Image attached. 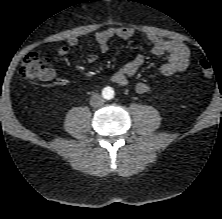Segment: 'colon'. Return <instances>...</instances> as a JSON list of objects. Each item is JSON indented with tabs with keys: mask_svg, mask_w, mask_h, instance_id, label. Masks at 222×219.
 I'll list each match as a JSON object with an SVG mask.
<instances>
[{
	"mask_svg": "<svg viewBox=\"0 0 222 219\" xmlns=\"http://www.w3.org/2000/svg\"><path fill=\"white\" fill-rule=\"evenodd\" d=\"M51 66L48 60L36 53L28 54L20 67V75L26 80H46L51 76ZM201 74L209 78L213 75V67L210 62H200Z\"/></svg>",
	"mask_w": 222,
	"mask_h": 219,
	"instance_id": "1",
	"label": "colon"
}]
</instances>
